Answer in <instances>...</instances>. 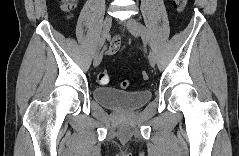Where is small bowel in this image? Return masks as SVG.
I'll return each mask as SVG.
<instances>
[{"instance_id":"c3829d8e","label":"small bowel","mask_w":239,"mask_h":156,"mask_svg":"<svg viewBox=\"0 0 239 156\" xmlns=\"http://www.w3.org/2000/svg\"><path fill=\"white\" fill-rule=\"evenodd\" d=\"M121 46V39L119 37H115L110 44L108 50L106 51L107 55H114L118 52L119 48Z\"/></svg>"}]
</instances>
